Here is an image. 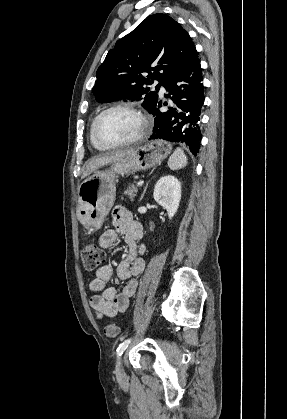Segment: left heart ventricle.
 <instances>
[{
  "label": "left heart ventricle",
  "mask_w": 287,
  "mask_h": 419,
  "mask_svg": "<svg viewBox=\"0 0 287 419\" xmlns=\"http://www.w3.org/2000/svg\"><path fill=\"white\" fill-rule=\"evenodd\" d=\"M140 129L138 116L126 109L107 113L99 123L98 134L106 142L116 143L134 137Z\"/></svg>",
  "instance_id": "left-heart-ventricle-1"
}]
</instances>
